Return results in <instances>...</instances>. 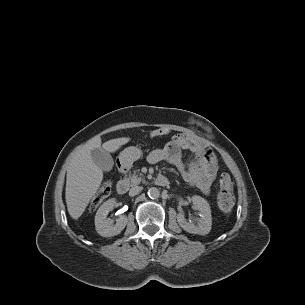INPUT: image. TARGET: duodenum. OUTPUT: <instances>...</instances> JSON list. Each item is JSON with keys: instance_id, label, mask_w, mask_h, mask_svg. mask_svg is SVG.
Here are the masks:
<instances>
[{"instance_id": "obj_1", "label": "duodenum", "mask_w": 305, "mask_h": 305, "mask_svg": "<svg viewBox=\"0 0 305 305\" xmlns=\"http://www.w3.org/2000/svg\"><path fill=\"white\" fill-rule=\"evenodd\" d=\"M119 170H120V172H121L122 174H125V173H126V167L123 166V165L120 166V169H119ZM155 183H156V185H158V186L164 187V186H167V185L169 184V181H168V179H167L165 176L160 175V176H158V177L156 178ZM116 188H117V192H118L119 194H125V193L128 191L129 183H128L127 180L122 179V180H120V181L117 183V187H116Z\"/></svg>"}]
</instances>
